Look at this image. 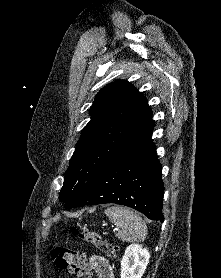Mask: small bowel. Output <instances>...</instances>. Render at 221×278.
<instances>
[{
  "label": "small bowel",
  "mask_w": 221,
  "mask_h": 278,
  "mask_svg": "<svg viewBox=\"0 0 221 278\" xmlns=\"http://www.w3.org/2000/svg\"><path fill=\"white\" fill-rule=\"evenodd\" d=\"M83 260L86 264L88 274L93 270L97 273L98 278H114L113 268L106 258L99 255H92L89 258L83 256Z\"/></svg>",
  "instance_id": "1"
}]
</instances>
